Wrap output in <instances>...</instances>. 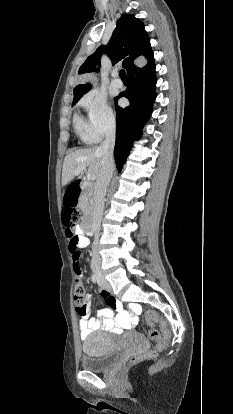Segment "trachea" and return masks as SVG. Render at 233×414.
<instances>
[{"instance_id":"trachea-1","label":"trachea","mask_w":233,"mask_h":414,"mask_svg":"<svg viewBox=\"0 0 233 414\" xmlns=\"http://www.w3.org/2000/svg\"><path fill=\"white\" fill-rule=\"evenodd\" d=\"M119 75L121 79H128L124 69L120 70Z\"/></svg>"}]
</instances>
